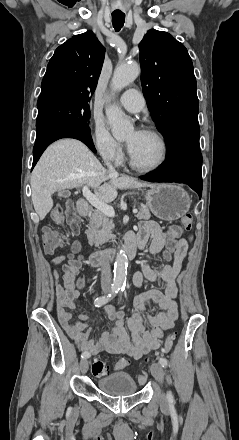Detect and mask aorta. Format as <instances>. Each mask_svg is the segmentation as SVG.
<instances>
[{
	"label": "aorta",
	"mask_w": 239,
	"mask_h": 440,
	"mask_svg": "<svg viewBox=\"0 0 239 440\" xmlns=\"http://www.w3.org/2000/svg\"><path fill=\"white\" fill-rule=\"evenodd\" d=\"M139 74L140 68L137 64H122V62H120V64L116 66L112 78L111 86L113 92H120V90L129 86V84H132ZM105 114L108 124H110L112 136L115 140H118V142H123L128 134L134 132V126L130 118L125 116L124 112H122L118 106H108L105 110ZM127 268L128 258L123 250H119L114 264L113 284L115 288H123L127 280Z\"/></svg>",
	"instance_id": "1"
}]
</instances>
